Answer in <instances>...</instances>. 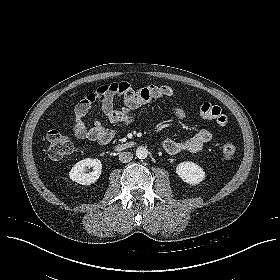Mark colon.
I'll return each mask as SVG.
<instances>
[{
	"mask_svg": "<svg viewBox=\"0 0 280 280\" xmlns=\"http://www.w3.org/2000/svg\"><path fill=\"white\" fill-rule=\"evenodd\" d=\"M119 84V83H114ZM137 96L136 92L129 91L124 97L129 99ZM201 114L203 117L213 120L219 126H226L228 123V117L225 115L221 108L216 105L205 103L201 106ZM91 136L94 138H102L104 143L110 141L109 131H92ZM48 142V156L50 158L58 159L73 152V145L70 140L62 135L58 130H52L47 134ZM236 153V147L233 143H226L222 147V156L226 160H230Z\"/></svg>",
	"mask_w": 280,
	"mask_h": 280,
	"instance_id": "colon-1",
	"label": "colon"
}]
</instances>
